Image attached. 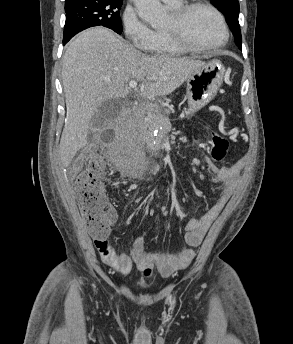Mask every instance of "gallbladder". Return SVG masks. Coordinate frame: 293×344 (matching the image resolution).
<instances>
[{
  "label": "gallbladder",
  "instance_id": "obj_1",
  "mask_svg": "<svg viewBox=\"0 0 293 344\" xmlns=\"http://www.w3.org/2000/svg\"><path fill=\"white\" fill-rule=\"evenodd\" d=\"M121 111V106L117 100L104 102L91 119V125L95 128L104 127L113 120Z\"/></svg>",
  "mask_w": 293,
  "mask_h": 344
}]
</instances>
